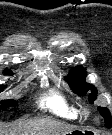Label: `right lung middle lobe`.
Wrapping results in <instances>:
<instances>
[{
	"label": "right lung middle lobe",
	"mask_w": 112,
	"mask_h": 135,
	"mask_svg": "<svg viewBox=\"0 0 112 135\" xmlns=\"http://www.w3.org/2000/svg\"><path fill=\"white\" fill-rule=\"evenodd\" d=\"M4 88V86H0V91ZM1 107L0 108H5L7 106L15 105L16 102L14 100H4L1 102Z\"/></svg>",
	"instance_id": "dd1d6c3e"
}]
</instances>
